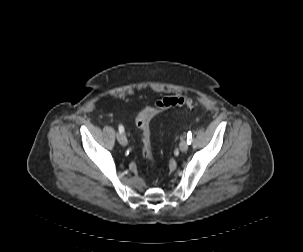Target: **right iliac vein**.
Instances as JSON below:
<instances>
[{
    "label": "right iliac vein",
    "instance_id": "63e3f726",
    "mask_svg": "<svg viewBox=\"0 0 303 252\" xmlns=\"http://www.w3.org/2000/svg\"><path fill=\"white\" fill-rule=\"evenodd\" d=\"M117 139L118 142L122 145V146H126L128 144V140L126 138V136L122 133H118L117 134Z\"/></svg>",
    "mask_w": 303,
    "mask_h": 252
}]
</instances>
